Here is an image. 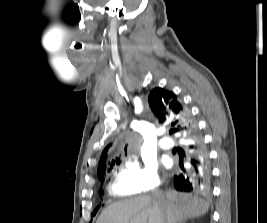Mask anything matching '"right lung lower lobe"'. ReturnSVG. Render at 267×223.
Segmentation results:
<instances>
[{
    "instance_id": "98d812e1",
    "label": "right lung lower lobe",
    "mask_w": 267,
    "mask_h": 223,
    "mask_svg": "<svg viewBox=\"0 0 267 223\" xmlns=\"http://www.w3.org/2000/svg\"><path fill=\"white\" fill-rule=\"evenodd\" d=\"M189 127V126H188ZM188 144V162L190 167L177 171L173 176L174 187L179 191H198L205 189L211 180L210 159L198 132L197 125L184 138Z\"/></svg>"
}]
</instances>
